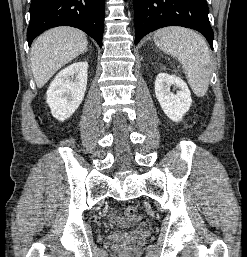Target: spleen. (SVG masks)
<instances>
[{
    "instance_id": "3e777b00",
    "label": "spleen",
    "mask_w": 247,
    "mask_h": 257,
    "mask_svg": "<svg viewBox=\"0 0 247 257\" xmlns=\"http://www.w3.org/2000/svg\"><path fill=\"white\" fill-rule=\"evenodd\" d=\"M155 44L182 64L193 92L206 94L211 75L209 48L196 32L182 27H167L154 34Z\"/></svg>"
}]
</instances>
